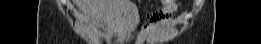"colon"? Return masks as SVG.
I'll return each instance as SVG.
<instances>
[{
  "label": "colon",
  "mask_w": 261,
  "mask_h": 44,
  "mask_svg": "<svg viewBox=\"0 0 261 44\" xmlns=\"http://www.w3.org/2000/svg\"><path fill=\"white\" fill-rule=\"evenodd\" d=\"M173 1H162L161 5L162 6H169L170 4H172ZM173 5H176V2H173Z\"/></svg>",
  "instance_id": "obj_1"
}]
</instances>
